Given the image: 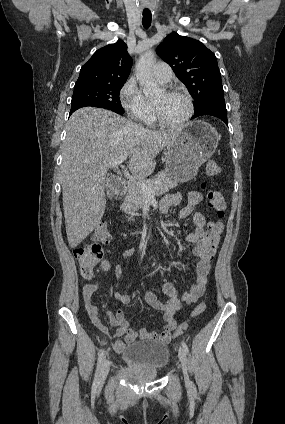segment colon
<instances>
[{"label":"colon","mask_w":285,"mask_h":424,"mask_svg":"<svg viewBox=\"0 0 285 424\" xmlns=\"http://www.w3.org/2000/svg\"><path fill=\"white\" fill-rule=\"evenodd\" d=\"M220 170L218 162L211 159L205 165V176L208 178L215 177L220 173ZM208 198L211 207L215 211L216 219L209 223L206 235L197 248L198 254L205 259H211L216 254L224 230L222 220L227 207L225 195L221 191H209ZM93 239L95 242L85 244L74 250V256L79 262L81 275L85 279L92 277L94 268L103 260L104 253L100 243L108 244L111 242V233L105 222H100L96 226L93 232ZM205 308V303L197 305L192 312V317L201 315ZM186 328L187 324H182L177 328L176 333H183Z\"/></svg>","instance_id":"1"}]
</instances>
